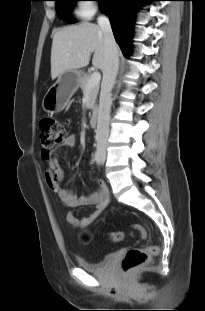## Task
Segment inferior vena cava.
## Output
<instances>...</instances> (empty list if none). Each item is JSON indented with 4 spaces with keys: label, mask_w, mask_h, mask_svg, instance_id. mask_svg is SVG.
I'll return each mask as SVG.
<instances>
[{
    "label": "inferior vena cava",
    "mask_w": 205,
    "mask_h": 311,
    "mask_svg": "<svg viewBox=\"0 0 205 311\" xmlns=\"http://www.w3.org/2000/svg\"><path fill=\"white\" fill-rule=\"evenodd\" d=\"M97 21L104 35L105 66L103 69V80L101 83L95 139L97 142V148L105 152L109 136V121L112 103L111 91L114 87L118 72L119 58L118 46L113 36L109 18L103 14H100Z\"/></svg>",
    "instance_id": "1"
}]
</instances>
